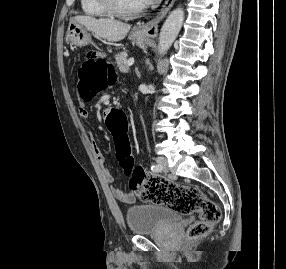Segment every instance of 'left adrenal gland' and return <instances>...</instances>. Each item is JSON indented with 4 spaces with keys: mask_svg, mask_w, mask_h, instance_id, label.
Wrapping results in <instances>:
<instances>
[{
    "mask_svg": "<svg viewBox=\"0 0 286 269\" xmlns=\"http://www.w3.org/2000/svg\"><path fill=\"white\" fill-rule=\"evenodd\" d=\"M135 71H136L137 76L140 78L141 75H140V72L138 71V68H136Z\"/></svg>",
    "mask_w": 286,
    "mask_h": 269,
    "instance_id": "a2214340",
    "label": "left adrenal gland"
}]
</instances>
